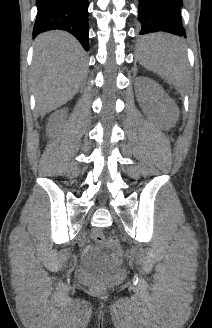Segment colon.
Returning <instances> with one entry per match:
<instances>
[{"mask_svg":"<svg viewBox=\"0 0 212 328\" xmlns=\"http://www.w3.org/2000/svg\"><path fill=\"white\" fill-rule=\"evenodd\" d=\"M96 240L101 243L106 245L108 248H110L112 250V259L115 263H121L123 260V253L121 250V246L119 243V240L114 237V236H110L107 238H104L103 236L97 234L96 235ZM97 288L101 289L102 285H97Z\"/></svg>","mask_w":212,"mask_h":328,"instance_id":"colon-1","label":"colon"}]
</instances>
